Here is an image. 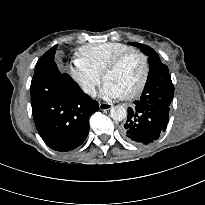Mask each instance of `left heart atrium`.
<instances>
[{
	"label": "left heart atrium",
	"mask_w": 205,
	"mask_h": 205,
	"mask_svg": "<svg viewBox=\"0 0 205 205\" xmlns=\"http://www.w3.org/2000/svg\"><path fill=\"white\" fill-rule=\"evenodd\" d=\"M102 93L106 98L115 99L122 96L120 91L116 89L113 85L105 82L102 88Z\"/></svg>",
	"instance_id": "obj_1"
}]
</instances>
